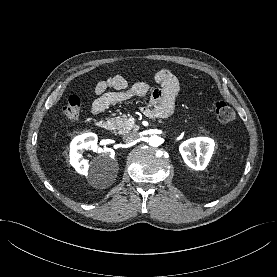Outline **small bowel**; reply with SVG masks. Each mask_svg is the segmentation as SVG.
<instances>
[{"instance_id":"1","label":"small bowel","mask_w":277,"mask_h":277,"mask_svg":"<svg viewBox=\"0 0 277 277\" xmlns=\"http://www.w3.org/2000/svg\"><path fill=\"white\" fill-rule=\"evenodd\" d=\"M155 80L160 87L154 90L145 82L130 84L121 75L101 80L94 88L96 99L91 105V112L99 114L111 105L150 95L151 101L143 108V112L149 117L167 118L174 112L179 82L176 76L166 69L159 70L155 74ZM110 89L113 91H109Z\"/></svg>"}]
</instances>
